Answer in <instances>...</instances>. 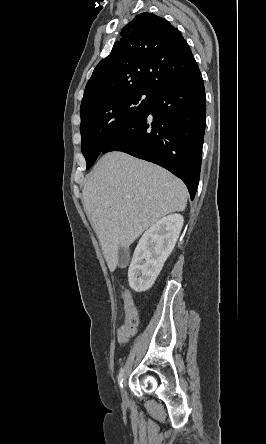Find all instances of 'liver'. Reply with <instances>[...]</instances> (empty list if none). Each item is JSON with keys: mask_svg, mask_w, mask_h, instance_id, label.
<instances>
[{"mask_svg": "<svg viewBox=\"0 0 266 444\" xmlns=\"http://www.w3.org/2000/svg\"><path fill=\"white\" fill-rule=\"evenodd\" d=\"M83 205L113 272L120 248H128L162 217L185 210L187 190L164 168L114 151L89 174Z\"/></svg>", "mask_w": 266, "mask_h": 444, "instance_id": "6515ba94", "label": "liver"}]
</instances>
